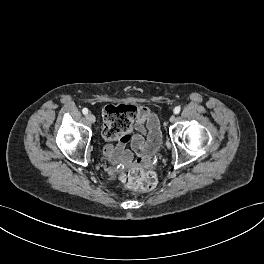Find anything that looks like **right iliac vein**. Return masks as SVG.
I'll return each instance as SVG.
<instances>
[{
    "mask_svg": "<svg viewBox=\"0 0 264 264\" xmlns=\"http://www.w3.org/2000/svg\"><path fill=\"white\" fill-rule=\"evenodd\" d=\"M86 119L90 122V123H94L96 121V118L93 114L89 113L86 116Z\"/></svg>",
    "mask_w": 264,
    "mask_h": 264,
    "instance_id": "1",
    "label": "right iliac vein"
}]
</instances>
